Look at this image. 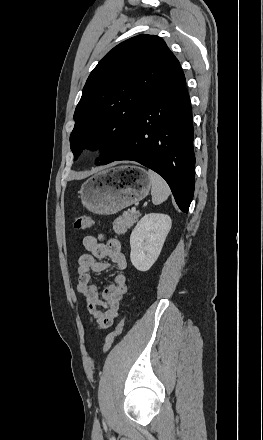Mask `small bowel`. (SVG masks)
Returning a JSON list of instances; mask_svg holds the SVG:
<instances>
[{"instance_id":"obj_1","label":"small bowel","mask_w":263,"mask_h":440,"mask_svg":"<svg viewBox=\"0 0 263 440\" xmlns=\"http://www.w3.org/2000/svg\"><path fill=\"white\" fill-rule=\"evenodd\" d=\"M83 246L88 253L78 259L76 290L86 301L91 321L99 328H108L113 325L120 301L127 291V277L123 273L127 268V259L117 239L103 242L101 236L88 235L83 239ZM112 264L120 272L115 275L113 283L100 294L98 287L91 281V273L107 271Z\"/></svg>"}]
</instances>
